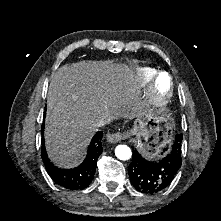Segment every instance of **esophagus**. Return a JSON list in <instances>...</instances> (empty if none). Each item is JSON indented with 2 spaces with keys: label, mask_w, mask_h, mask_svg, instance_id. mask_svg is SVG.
<instances>
[{
  "label": "esophagus",
  "mask_w": 221,
  "mask_h": 221,
  "mask_svg": "<svg viewBox=\"0 0 221 221\" xmlns=\"http://www.w3.org/2000/svg\"><path fill=\"white\" fill-rule=\"evenodd\" d=\"M107 137V141L110 143H118L120 142L122 139L127 138V135H124L121 132H116V133H108L106 135Z\"/></svg>",
  "instance_id": "obj_1"
}]
</instances>
